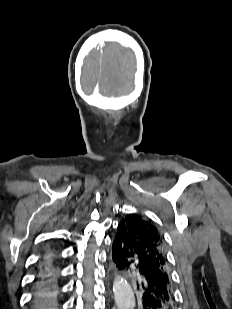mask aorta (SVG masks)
<instances>
[{"label": "aorta", "instance_id": "aorta-1", "mask_svg": "<svg viewBox=\"0 0 232 309\" xmlns=\"http://www.w3.org/2000/svg\"><path fill=\"white\" fill-rule=\"evenodd\" d=\"M114 299L118 309H134L135 297L131 286L123 278L117 277L113 283Z\"/></svg>", "mask_w": 232, "mask_h": 309}]
</instances>
